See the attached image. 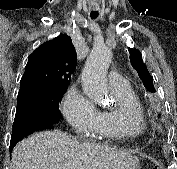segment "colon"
<instances>
[{
    "mask_svg": "<svg viewBox=\"0 0 177 169\" xmlns=\"http://www.w3.org/2000/svg\"><path fill=\"white\" fill-rule=\"evenodd\" d=\"M150 169H159L158 167L154 166V167H151Z\"/></svg>",
    "mask_w": 177,
    "mask_h": 169,
    "instance_id": "obj_1",
    "label": "colon"
}]
</instances>
